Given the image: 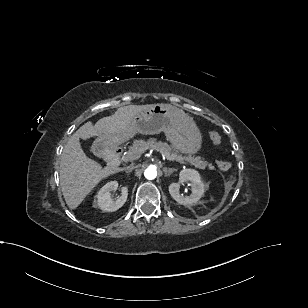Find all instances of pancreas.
<instances>
[{
    "label": "pancreas",
    "instance_id": "pancreas-1",
    "mask_svg": "<svg viewBox=\"0 0 308 308\" xmlns=\"http://www.w3.org/2000/svg\"><path fill=\"white\" fill-rule=\"evenodd\" d=\"M147 149H155L159 151L162 154L174 156L179 159H183L199 169H205L207 166L209 169H213V166L211 164H208L207 161L203 160L201 157H191V156H182L177 155L176 152H172V148L164 142L156 141L155 139H149L147 141L145 140H135L132 144V146L129 147L128 152L126 155L123 156V161H135L137 160L141 154L146 151Z\"/></svg>",
    "mask_w": 308,
    "mask_h": 308
}]
</instances>
